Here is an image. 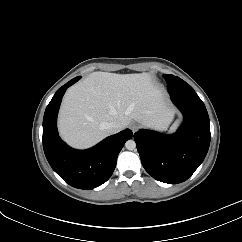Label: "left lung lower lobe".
<instances>
[{"mask_svg":"<svg viewBox=\"0 0 242 242\" xmlns=\"http://www.w3.org/2000/svg\"><path fill=\"white\" fill-rule=\"evenodd\" d=\"M168 93L183 113V125L172 135L141 129L134 139L145 170L158 181L177 184L203 162L210 145V123L194 90L168 89Z\"/></svg>","mask_w":242,"mask_h":242,"instance_id":"0a47b994","label":"left lung lower lobe"}]
</instances>
